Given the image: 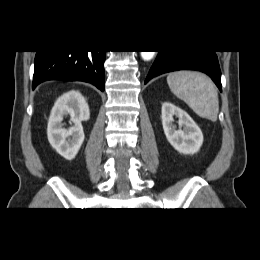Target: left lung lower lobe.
Instances as JSON below:
<instances>
[{
    "label": "left lung lower lobe",
    "instance_id": "left-lung-lower-lobe-1",
    "mask_svg": "<svg viewBox=\"0 0 260 260\" xmlns=\"http://www.w3.org/2000/svg\"><path fill=\"white\" fill-rule=\"evenodd\" d=\"M177 70H197L206 73L221 91V72L214 51H159L145 84L155 76Z\"/></svg>",
    "mask_w": 260,
    "mask_h": 260
}]
</instances>
